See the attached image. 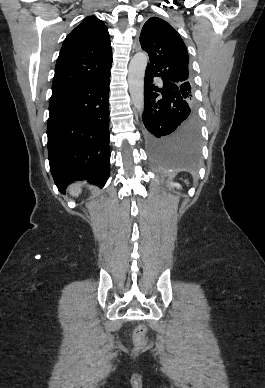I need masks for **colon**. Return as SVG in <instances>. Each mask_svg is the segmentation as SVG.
Listing matches in <instances>:
<instances>
[{"mask_svg": "<svg viewBox=\"0 0 265 388\" xmlns=\"http://www.w3.org/2000/svg\"><path fill=\"white\" fill-rule=\"evenodd\" d=\"M147 333V326L141 324L134 330V341L137 345H143L145 343V335Z\"/></svg>", "mask_w": 265, "mask_h": 388, "instance_id": "1", "label": "colon"}]
</instances>
